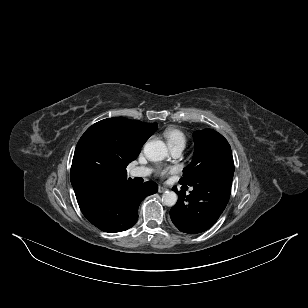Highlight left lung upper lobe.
Masks as SVG:
<instances>
[{
	"instance_id": "left-lung-upper-lobe-1",
	"label": "left lung upper lobe",
	"mask_w": 308,
	"mask_h": 308,
	"mask_svg": "<svg viewBox=\"0 0 308 308\" xmlns=\"http://www.w3.org/2000/svg\"><path fill=\"white\" fill-rule=\"evenodd\" d=\"M194 141V156L192 162L183 170L180 184L191 186L219 172H234L231 147L221 134L212 129L195 131Z\"/></svg>"
}]
</instances>
